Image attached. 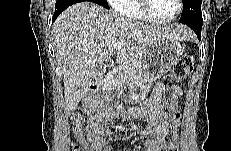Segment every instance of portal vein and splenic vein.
<instances>
[{"instance_id": "obj_1", "label": "portal vein and splenic vein", "mask_w": 231, "mask_h": 151, "mask_svg": "<svg viewBox=\"0 0 231 151\" xmlns=\"http://www.w3.org/2000/svg\"><path fill=\"white\" fill-rule=\"evenodd\" d=\"M122 46H123L122 43H116V44L113 45V48L119 50V49L122 48ZM124 68H126V66Z\"/></svg>"}]
</instances>
